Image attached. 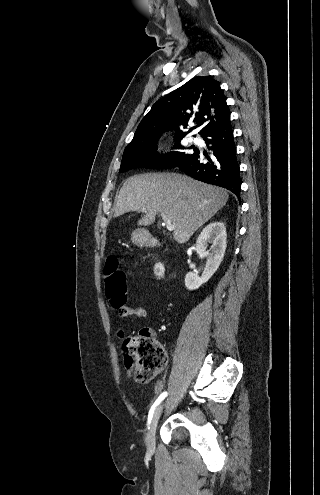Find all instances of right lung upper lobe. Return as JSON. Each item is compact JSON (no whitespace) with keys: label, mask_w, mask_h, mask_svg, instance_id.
Here are the masks:
<instances>
[{"label":"right lung upper lobe","mask_w":320,"mask_h":495,"mask_svg":"<svg viewBox=\"0 0 320 495\" xmlns=\"http://www.w3.org/2000/svg\"><path fill=\"white\" fill-rule=\"evenodd\" d=\"M226 99L220 83L212 76L192 78L152 106L125 150L144 144H156L161 133L168 130L174 131V139L179 141L196 128L193 127L188 132L180 130L190 123L201 127L199 134L202 136L229 119L230 111Z\"/></svg>","instance_id":"cb5924a9"}]
</instances>
